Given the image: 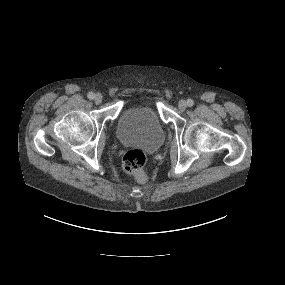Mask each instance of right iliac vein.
<instances>
[{
	"mask_svg": "<svg viewBox=\"0 0 285 285\" xmlns=\"http://www.w3.org/2000/svg\"><path fill=\"white\" fill-rule=\"evenodd\" d=\"M94 101H95L96 104H100L102 102V95L100 93H97L94 96Z\"/></svg>",
	"mask_w": 285,
	"mask_h": 285,
	"instance_id": "63e3f726",
	"label": "right iliac vein"
}]
</instances>
